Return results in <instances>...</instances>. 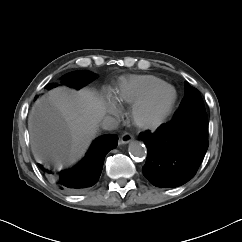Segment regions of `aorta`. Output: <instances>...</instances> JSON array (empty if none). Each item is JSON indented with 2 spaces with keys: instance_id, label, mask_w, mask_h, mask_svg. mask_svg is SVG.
<instances>
[{
  "instance_id": "1",
  "label": "aorta",
  "mask_w": 242,
  "mask_h": 242,
  "mask_svg": "<svg viewBox=\"0 0 242 242\" xmlns=\"http://www.w3.org/2000/svg\"><path fill=\"white\" fill-rule=\"evenodd\" d=\"M128 150H129V153L131 154V156L136 157V158H144L147 153L145 145L139 141H132L129 144Z\"/></svg>"
}]
</instances>
